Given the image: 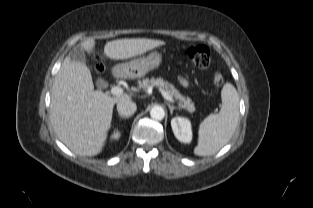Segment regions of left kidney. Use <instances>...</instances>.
Returning <instances> with one entry per match:
<instances>
[{
	"instance_id": "obj_1",
	"label": "left kidney",
	"mask_w": 313,
	"mask_h": 208,
	"mask_svg": "<svg viewBox=\"0 0 313 208\" xmlns=\"http://www.w3.org/2000/svg\"><path fill=\"white\" fill-rule=\"evenodd\" d=\"M171 127L175 137L183 143H190L192 140L191 122L184 117H174L171 120Z\"/></svg>"
}]
</instances>
